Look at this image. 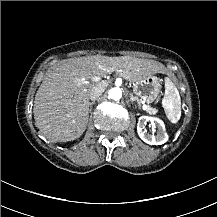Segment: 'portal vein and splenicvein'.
<instances>
[{
  "mask_svg": "<svg viewBox=\"0 0 217 217\" xmlns=\"http://www.w3.org/2000/svg\"><path fill=\"white\" fill-rule=\"evenodd\" d=\"M93 78H94V81H95V82L100 81V79H101L100 77H97V76H95V77H93ZM93 78H92V79H93Z\"/></svg>",
  "mask_w": 217,
  "mask_h": 217,
  "instance_id": "portal-vein-and-splenic-vein-1",
  "label": "portal vein and splenic vein"
}]
</instances>
